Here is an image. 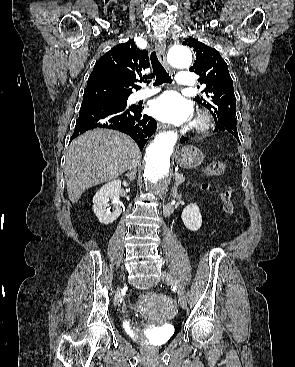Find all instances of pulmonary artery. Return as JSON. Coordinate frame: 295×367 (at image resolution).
Listing matches in <instances>:
<instances>
[{"label": "pulmonary artery", "mask_w": 295, "mask_h": 367, "mask_svg": "<svg viewBox=\"0 0 295 367\" xmlns=\"http://www.w3.org/2000/svg\"><path fill=\"white\" fill-rule=\"evenodd\" d=\"M177 83L181 86L184 87H192L195 85V79L192 73L188 72V71H181L178 75H177ZM159 91L158 88L156 89H145L142 91L137 92L134 95V99L135 100H142L145 98H148L154 94H156Z\"/></svg>", "instance_id": "e3ab8cb5"}]
</instances>
